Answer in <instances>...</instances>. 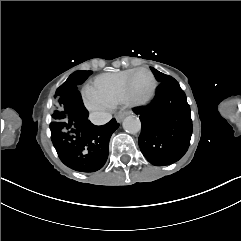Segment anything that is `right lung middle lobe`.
<instances>
[{
    "label": "right lung middle lobe",
    "mask_w": 241,
    "mask_h": 241,
    "mask_svg": "<svg viewBox=\"0 0 241 241\" xmlns=\"http://www.w3.org/2000/svg\"><path fill=\"white\" fill-rule=\"evenodd\" d=\"M91 73L92 71H76L57 89L52 99V123L67 122L71 119L68 101L66 99V89L70 87L74 88V84H82Z\"/></svg>",
    "instance_id": "dd1d6c3e"
}]
</instances>
